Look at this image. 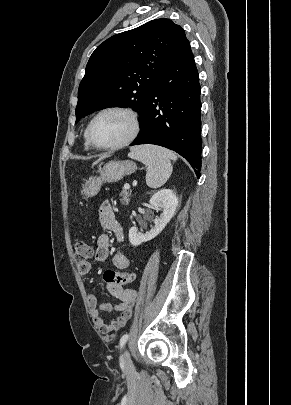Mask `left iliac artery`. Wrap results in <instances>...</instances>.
Segmentation results:
<instances>
[{
  "label": "left iliac artery",
  "instance_id": "obj_1",
  "mask_svg": "<svg viewBox=\"0 0 291 405\" xmlns=\"http://www.w3.org/2000/svg\"><path fill=\"white\" fill-rule=\"evenodd\" d=\"M129 338V335L126 333L124 334L121 339H120V348L122 349L124 347V345L126 344L127 340Z\"/></svg>",
  "mask_w": 291,
  "mask_h": 405
}]
</instances>
